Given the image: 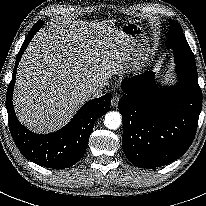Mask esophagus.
I'll return each mask as SVG.
<instances>
[{
  "mask_svg": "<svg viewBox=\"0 0 206 206\" xmlns=\"http://www.w3.org/2000/svg\"><path fill=\"white\" fill-rule=\"evenodd\" d=\"M119 96L118 95H114L113 97H112V100H111V105H112V107H117V105H118V102H119Z\"/></svg>",
  "mask_w": 206,
  "mask_h": 206,
  "instance_id": "obj_1",
  "label": "esophagus"
}]
</instances>
